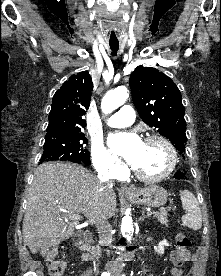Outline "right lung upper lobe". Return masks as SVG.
Returning a JSON list of instances; mask_svg holds the SVG:
<instances>
[{"label": "right lung upper lobe", "mask_w": 221, "mask_h": 276, "mask_svg": "<svg viewBox=\"0 0 221 276\" xmlns=\"http://www.w3.org/2000/svg\"><path fill=\"white\" fill-rule=\"evenodd\" d=\"M93 83L87 71L73 74L53 96L46 135L81 132L82 116L89 108Z\"/></svg>", "instance_id": "cb5924a9"}]
</instances>
